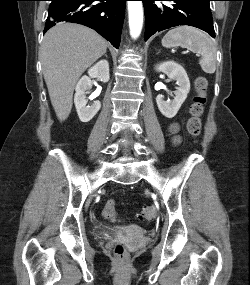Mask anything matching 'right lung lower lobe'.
I'll return each mask as SVG.
<instances>
[{"instance_id":"obj_1","label":"right lung lower lobe","mask_w":250,"mask_h":285,"mask_svg":"<svg viewBox=\"0 0 250 285\" xmlns=\"http://www.w3.org/2000/svg\"><path fill=\"white\" fill-rule=\"evenodd\" d=\"M127 0H51L44 33L57 22L88 26L119 48Z\"/></svg>"}]
</instances>
